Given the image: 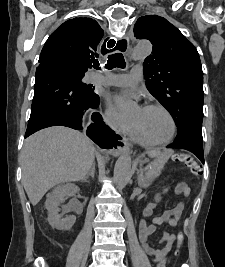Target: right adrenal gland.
Here are the masks:
<instances>
[{
    "label": "right adrenal gland",
    "mask_w": 225,
    "mask_h": 267,
    "mask_svg": "<svg viewBox=\"0 0 225 267\" xmlns=\"http://www.w3.org/2000/svg\"><path fill=\"white\" fill-rule=\"evenodd\" d=\"M94 176H95V163L92 165L89 173L86 174V176L83 179V181L86 182L89 177L94 178Z\"/></svg>",
    "instance_id": "obj_1"
}]
</instances>
